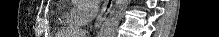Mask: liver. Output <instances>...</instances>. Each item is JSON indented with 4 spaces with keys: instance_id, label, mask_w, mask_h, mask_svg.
Here are the masks:
<instances>
[{
    "instance_id": "liver-1",
    "label": "liver",
    "mask_w": 219,
    "mask_h": 37,
    "mask_svg": "<svg viewBox=\"0 0 219 37\" xmlns=\"http://www.w3.org/2000/svg\"><path fill=\"white\" fill-rule=\"evenodd\" d=\"M77 35H85V33H77ZM78 37H84V36H78Z\"/></svg>"
}]
</instances>
